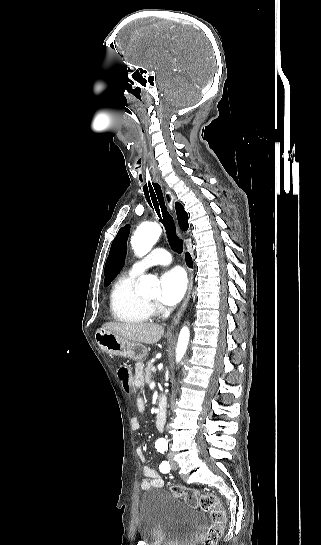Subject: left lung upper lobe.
<instances>
[{"instance_id": "5c2ea615", "label": "left lung upper lobe", "mask_w": 321, "mask_h": 545, "mask_svg": "<svg viewBox=\"0 0 321 545\" xmlns=\"http://www.w3.org/2000/svg\"><path fill=\"white\" fill-rule=\"evenodd\" d=\"M129 235V225L121 228L112 242L111 250L106 261L104 270L106 281L105 286H108L110 282L119 273L121 267L124 264L126 255V242Z\"/></svg>"}]
</instances>
